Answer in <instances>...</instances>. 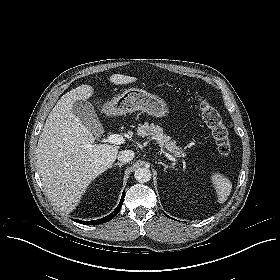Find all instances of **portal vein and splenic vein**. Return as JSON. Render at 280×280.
<instances>
[{
    "mask_svg": "<svg viewBox=\"0 0 280 280\" xmlns=\"http://www.w3.org/2000/svg\"><path fill=\"white\" fill-rule=\"evenodd\" d=\"M125 141V139L123 138L122 135L120 134H111L107 137L106 142L110 143V144H116V145H121L123 144ZM163 153L165 154V156L171 160V161H176L175 158L168 154L167 152L163 151Z\"/></svg>",
    "mask_w": 280,
    "mask_h": 280,
    "instance_id": "18ae733b",
    "label": "portal vein and splenic vein"
}]
</instances>
